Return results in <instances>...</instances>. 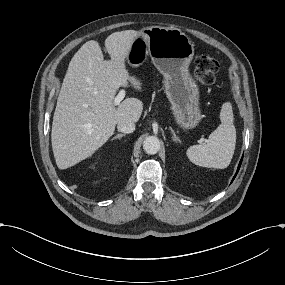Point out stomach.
<instances>
[{"label":"stomach","mask_w":285,"mask_h":285,"mask_svg":"<svg viewBox=\"0 0 285 285\" xmlns=\"http://www.w3.org/2000/svg\"><path fill=\"white\" fill-rule=\"evenodd\" d=\"M133 40L127 63L142 65L148 56L164 76L166 96L178 125L192 129L201 120L199 89L188 67L194 56V44L178 28L151 26L143 28Z\"/></svg>","instance_id":"0dacf381"}]
</instances>
